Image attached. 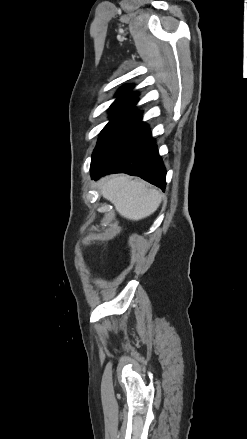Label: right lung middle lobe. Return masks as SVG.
Here are the masks:
<instances>
[{
  "label": "right lung middle lobe",
  "mask_w": 247,
  "mask_h": 439,
  "mask_svg": "<svg viewBox=\"0 0 247 439\" xmlns=\"http://www.w3.org/2000/svg\"><path fill=\"white\" fill-rule=\"evenodd\" d=\"M141 113L123 106L110 107V122L100 133L97 146L92 155L91 167L98 166L111 152L123 146L147 125Z\"/></svg>",
  "instance_id": "right-lung-middle-lobe-1"
}]
</instances>
